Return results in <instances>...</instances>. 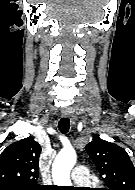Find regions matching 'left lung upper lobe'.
Returning a JSON list of instances; mask_svg holds the SVG:
<instances>
[{
  "instance_id": "obj_1",
  "label": "left lung upper lobe",
  "mask_w": 135,
  "mask_h": 190,
  "mask_svg": "<svg viewBox=\"0 0 135 190\" xmlns=\"http://www.w3.org/2000/svg\"><path fill=\"white\" fill-rule=\"evenodd\" d=\"M85 149L104 176L105 190H135V167L123 148L96 137Z\"/></svg>"
}]
</instances>
